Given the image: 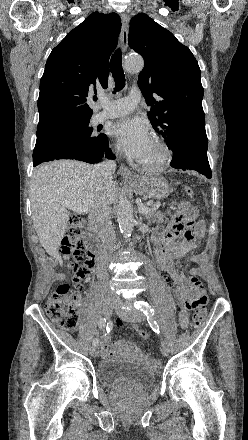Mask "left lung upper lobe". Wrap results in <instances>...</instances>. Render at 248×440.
<instances>
[{
    "instance_id": "5c2ea615",
    "label": "left lung upper lobe",
    "mask_w": 248,
    "mask_h": 440,
    "mask_svg": "<svg viewBox=\"0 0 248 440\" xmlns=\"http://www.w3.org/2000/svg\"><path fill=\"white\" fill-rule=\"evenodd\" d=\"M129 46L144 58L138 86L153 128L173 152L208 149L201 71L190 49L148 15L130 21ZM158 95V99L153 97Z\"/></svg>"
}]
</instances>
